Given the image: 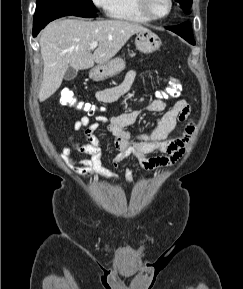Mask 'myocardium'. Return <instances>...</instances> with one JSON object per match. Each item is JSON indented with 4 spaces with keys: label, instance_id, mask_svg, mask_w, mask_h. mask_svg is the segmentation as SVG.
I'll list each match as a JSON object with an SVG mask.
<instances>
[{
    "label": "myocardium",
    "instance_id": "f54148a6",
    "mask_svg": "<svg viewBox=\"0 0 243 289\" xmlns=\"http://www.w3.org/2000/svg\"><path fill=\"white\" fill-rule=\"evenodd\" d=\"M148 2H149L148 0H137V5H138L139 10L142 12V14H144L150 20H162L164 18H167L171 14L173 7H174V1L168 0L169 2L168 12L165 15L157 16V15H154L150 11Z\"/></svg>",
    "mask_w": 243,
    "mask_h": 289
}]
</instances>
